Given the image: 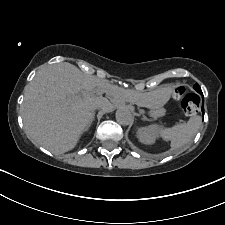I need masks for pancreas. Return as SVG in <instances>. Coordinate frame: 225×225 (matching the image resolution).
I'll list each match as a JSON object with an SVG mask.
<instances>
[{
	"label": "pancreas",
	"mask_w": 225,
	"mask_h": 225,
	"mask_svg": "<svg viewBox=\"0 0 225 225\" xmlns=\"http://www.w3.org/2000/svg\"><path fill=\"white\" fill-rule=\"evenodd\" d=\"M165 114V109L161 108V109H157V110H152L150 115L153 118L159 117V116H163Z\"/></svg>",
	"instance_id": "obj_1"
}]
</instances>
